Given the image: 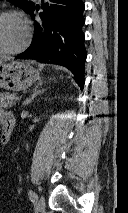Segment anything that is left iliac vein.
<instances>
[{
	"label": "left iliac vein",
	"mask_w": 128,
	"mask_h": 213,
	"mask_svg": "<svg viewBox=\"0 0 128 213\" xmlns=\"http://www.w3.org/2000/svg\"><path fill=\"white\" fill-rule=\"evenodd\" d=\"M36 205H37V208L40 211H44V209H45V200H44V198H42V197L37 198Z\"/></svg>",
	"instance_id": "left-iliac-vein-1"
}]
</instances>
